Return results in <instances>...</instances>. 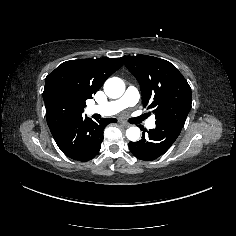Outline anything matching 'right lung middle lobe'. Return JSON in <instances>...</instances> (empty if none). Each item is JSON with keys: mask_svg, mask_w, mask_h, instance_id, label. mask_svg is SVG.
I'll use <instances>...</instances> for the list:
<instances>
[{"mask_svg": "<svg viewBox=\"0 0 236 236\" xmlns=\"http://www.w3.org/2000/svg\"><path fill=\"white\" fill-rule=\"evenodd\" d=\"M45 106L48 125L77 116L75 111L64 109L55 101H49Z\"/></svg>", "mask_w": 236, "mask_h": 236, "instance_id": "dd1d6c3e", "label": "right lung middle lobe"}]
</instances>
